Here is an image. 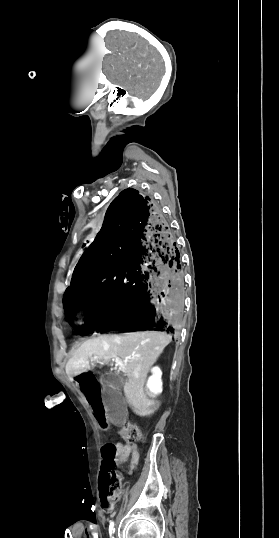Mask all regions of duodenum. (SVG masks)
Segmentation results:
<instances>
[{
    "label": "duodenum",
    "instance_id": "410a0bca",
    "mask_svg": "<svg viewBox=\"0 0 279 538\" xmlns=\"http://www.w3.org/2000/svg\"><path fill=\"white\" fill-rule=\"evenodd\" d=\"M99 376H102V373H99Z\"/></svg>",
    "mask_w": 279,
    "mask_h": 538
}]
</instances>
